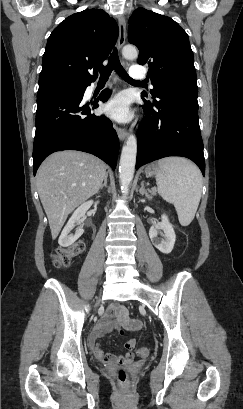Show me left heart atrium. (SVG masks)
<instances>
[{
  "label": "left heart atrium",
  "instance_id": "obj_1",
  "mask_svg": "<svg viewBox=\"0 0 243 409\" xmlns=\"http://www.w3.org/2000/svg\"><path fill=\"white\" fill-rule=\"evenodd\" d=\"M105 113L116 121H127L130 116L129 100L124 93L113 97L104 107Z\"/></svg>",
  "mask_w": 243,
  "mask_h": 409
}]
</instances>
